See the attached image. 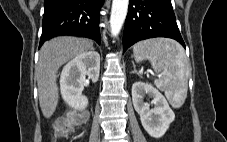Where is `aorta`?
Segmentation results:
<instances>
[{
    "instance_id": "obj_1",
    "label": "aorta",
    "mask_w": 227,
    "mask_h": 142,
    "mask_svg": "<svg viewBox=\"0 0 227 142\" xmlns=\"http://www.w3.org/2000/svg\"><path fill=\"white\" fill-rule=\"evenodd\" d=\"M129 0H112L110 15L111 34L117 36L125 21Z\"/></svg>"
}]
</instances>
